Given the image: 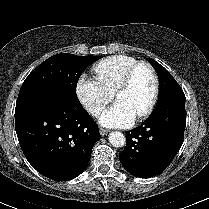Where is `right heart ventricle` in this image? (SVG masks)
<instances>
[{
	"mask_svg": "<svg viewBox=\"0 0 209 209\" xmlns=\"http://www.w3.org/2000/svg\"><path fill=\"white\" fill-rule=\"evenodd\" d=\"M137 63H139V60L134 57L115 55L98 62L93 67V71L103 85L114 92L127 71Z\"/></svg>",
	"mask_w": 209,
	"mask_h": 209,
	"instance_id": "e07e8e85",
	"label": "right heart ventricle"
}]
</instances>
